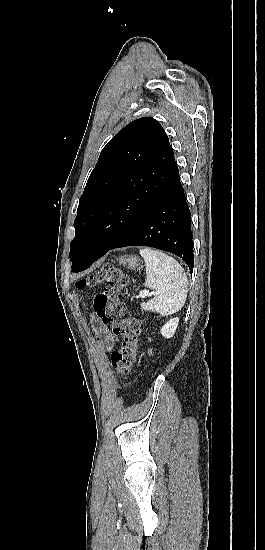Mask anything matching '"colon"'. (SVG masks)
I'll use <instances>...</instances> for the list:
<instances>
[{"label": "colon", "mask_w": 265, "mask_h": 550, "mask_svg": "<svg viewBox=\"0 0 265 550\" xmlns=\"http://www.w3.org/2000/svg\"><path fill=\"white\" fill-rule=\"evenodd\" d=\"M127 284L126 274L114 264H104L91 276L76 282L79 289L104 286L95 296L93 306L97 316L121 338L111 354V366L121 377H126L136 362L141 336L139 321L129 315L122 301Z\"/></svg>", "instance_id": "1"}]
</instances>
